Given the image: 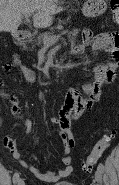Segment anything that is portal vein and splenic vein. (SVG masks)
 I'll use <instances>...</instances> for the list:
<instances>
[{"label":"portal vein and splenic vein","instance_id":"obj_1","mask_svg":"<svg viewBox=\"0 0 119 185\" xmlns=\"http://www.w3.org/2000/svg\"><path fill=\"white\" fill-rule=\"evenodd\" d=\"M30 14L29 13H26L24 14V17L26 20H28ZM67 31H63L61 34L57 35V36H51V37H44L43 38V44L44 46L46 47H50L52 45H54L55 43H57V41L59 40V38H61L62 35L66 34Z\"/></svg>","mask_w":119,"mask_h":185}]
</instances>
